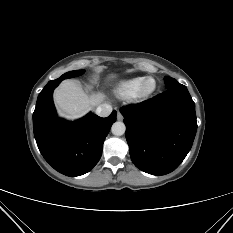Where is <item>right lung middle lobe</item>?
I'll return each mask as SVG.
<instances>
[{"label": "right lung middle lobe", "mask_w": 233, "mask_h": 233, "mask_svg": "<svg viewBox=\"0 0 233 233\" xmlns=\"http://www.w3.org/2000/svg\"><path fill=\"white\" fill-rule=\"evenodd\" d=\"M84 73V70H75V71H70V72H67L65 74H63L61 77H59L58 79L56 80H64V79H68V78H72V77H77V76H80Z\"/></svg>", "instance_id": "right-lung-middle-lobe-1"}]
</instances>
